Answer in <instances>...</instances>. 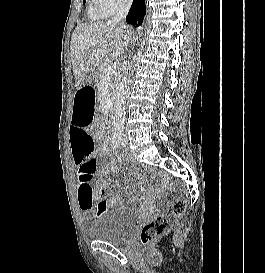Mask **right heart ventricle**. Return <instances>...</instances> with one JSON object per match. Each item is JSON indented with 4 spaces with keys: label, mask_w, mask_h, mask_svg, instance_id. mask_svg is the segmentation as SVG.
Instances as JSON below:
<instances>
[{
    "label": "right heart ventricle",
    "mask_w": 265,
    "mask_h": 273,
    "mask_svg": "<svg viewBox=\"0 0 265 273\" xmlns=\"http://www.w3.org/2000/svg\"><path fill=\"white\" fill-rule=\"evenodd\" d=\"M89 15L93 19H98V18H104L107 17V14L98 9L94 4L93 1L91 0L90 2V7H89Z\"/></svg>",
    "instance_id": "right-heart-ventricle-1"
}]
</instances>
